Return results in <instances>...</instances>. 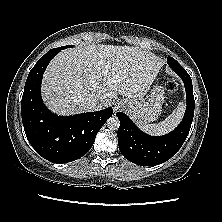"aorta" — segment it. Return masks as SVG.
<instances>
[{
    "instance_id": "obj_1",
    "label": "aorta",
    "mask_w": 222,
    "mask_h": 222,
    "mask_svg": "<svg viewBox=\"0 0 222 222\" xmlns=\"http://www.w3.org/2000/svg\"><path fill=\"white\" fill-rule=\"evenodd\" d=\"M106 123L110 130H116L120 126V120L116 116L110 117Z\"/></svg>"
}]
</instances>
